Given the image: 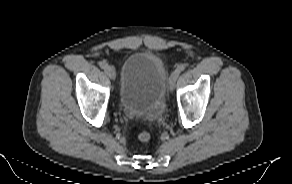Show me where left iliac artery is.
Wrapping results in <instances>:
<instances>
[{
  "instance_id": "44dca946",
  "label": "left iliac artery",
  "mask_w": 292,
  "mask_h": 184,
  "mask_svg": "<svg viewBox=\"0 0 292 184\" xmlns=\"http://www.w3.org/2000/svg\"><path fill=\"white\" fill-rule=\"evenodd\" d=\"M184 69H185V65L182 64V65H179L175 71H177L178 74H180L182 71H184Z\"/></svg>"
}]
</instances>
